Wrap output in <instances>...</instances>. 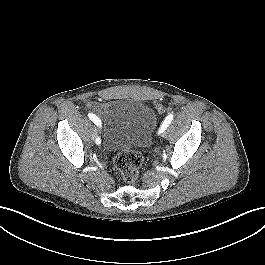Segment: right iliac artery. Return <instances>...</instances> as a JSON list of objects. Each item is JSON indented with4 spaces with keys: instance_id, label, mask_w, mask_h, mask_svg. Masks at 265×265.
Wrapping results in <instances>:
<instances>
[{
    "instance_id": "82829eb1",
    "label": "right iliac artery",
    "mask_w": 265,
    "mask_h": 265,
    "mask_svg": "<svg viewBox=\"0 0 265 265\" xmlns=\"http://www.w3.org/2000/svg\"><path fill=\"white\" fill-rule=\"evenodd\" d=\"M88 117L91 121H93L97 126L101 127V120L93 113H88ZM96 144H100L101 143V139L98 137L95 140Z\"/></svg>"
}]
</instances>
